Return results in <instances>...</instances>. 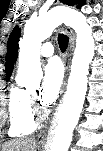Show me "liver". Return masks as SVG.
Instances as JSON below:
<instances>
[{
    "instance_id": "obj_1",
    "label": "liver",
    "mask_w": 103,
    "mask_h": 151,
    "mask_svg": "<svg viewBox=\"0 0 103 151\" xmlns=\"http://www.w3.org/2000/svg\"><path fill=\"white\" fill-rule=\"evenodd\" d=\"M37 142L35 137H22L5 142L0 151H36Z\"/></svg>"
}]
</instances>
